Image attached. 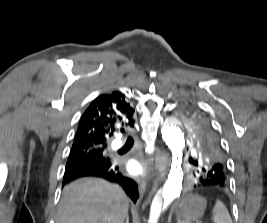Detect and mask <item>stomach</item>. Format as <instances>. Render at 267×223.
<instances>
[{
  "instance_id": "1",
  "label": "stomach",
  "mask_w": 267,
  "mask_h": 223,
  "mask_svg": "<svg viewBox=\"0 0 267 223\" xmlns=\"http://www.w3.org/2000/svg\"><path fill=\"white\" fill-rule=\"evenodd\" d=\"M179 219L181 223H191L200 219L206 209V200L196 194L187 195L179 204Z\"/></svg>"
}]
</instances>
